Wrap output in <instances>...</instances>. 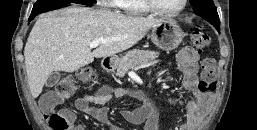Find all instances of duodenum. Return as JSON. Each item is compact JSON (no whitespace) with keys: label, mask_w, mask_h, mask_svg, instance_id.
Returning <instances> with one entry per match:
<instances>
[{"label":"duodenum","mask_w":257,"mask_h":130,"mask_svg":"<svg viewBox=\"0 0 257 130\" xmlns=\"http://www.w3.org/2000/svg\"><path fill=\"white\" fill-rule=\"evenodd\" d=\"M105 69L109 70L112 67V62L110 60H106L104 63Z\"/></svg>","instance_id":"1"}]
</instances>
